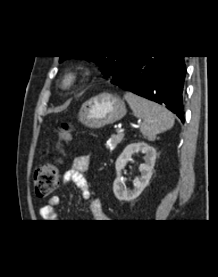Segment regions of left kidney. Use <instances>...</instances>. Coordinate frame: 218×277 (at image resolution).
Listing matches in <instances>:
<instances>
[{
  "mask_svg": "<svg viewBox=\"0 0 218 277\" xmlns=\"http://www.w3.org/2000/svg\"><path fill=\"white\" fill-rule=\"evenodd\" d=\"M138 152L145 154V163L139 166L141 176L140 178H136L134 180V188L130 190L126 187L124 179L121 177V172L124 169L126 163L132 160V155ZM155 160V148L149 146L146 143H132L126 146L115 163L117 176L113 183V192L118 200L131 201L142 193L144 188L149 184V181L152 177Z\"/></svg>",
  "mask_w": 218,
  "mask_h": 277,
  "instance_id": "obj_1",
  "label": "left kidney"
}]
</instances>
